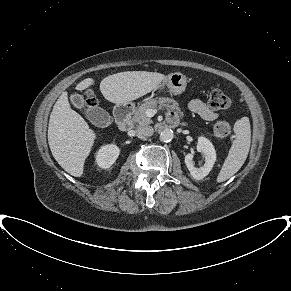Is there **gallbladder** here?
<instances>
[{
  "label": "gallbladder",
  "instance_id": "obj_1",
  "mask_svg": "<svg viewBox=\"0 0 291 291\" xmlns=\"http://www.w3.org/2000/svg\"><path fill=\"white\" fill-rule=\"evenodd\" d=\"M71 103L79 110H83L85 117L97 127H106L112 122L109 113L99 106H86L84 97L74 93L70 96Z\"/></svg>",
  "mask_w": 291,
  "mask_h": 291
}]
</instances>
